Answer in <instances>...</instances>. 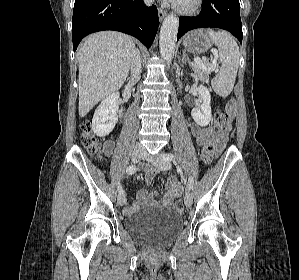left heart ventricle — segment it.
I'll return each instance as SVG.
<instances>
[{"label":"left heart ventricle","mask_w":299,"mask_h":280,"mask_svg":"<svg viewBox=\"0 0 299 280\" xmlns=\"http://www.w3.org/2000/svg\"><path fill=\"white\" fill-rule=\"evenodd\" d=\"M192 0H180V3H183V4H188L190 3Z\"/></svg>","instance_id":"b2bd125f"}]
</instances>
